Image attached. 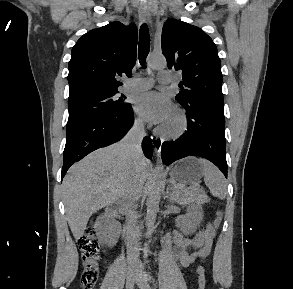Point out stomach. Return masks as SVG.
I'll list each match as a JSON object with an SVG mask.
<instances>
[{"instance_id":"stomach-1","label":"stomach","mask_w":293,"mask_h":289,"mask_svg":"<svg viewBox=\"0 0 293 289\" xmlns=\"http://www.w3.org/2000/svg\"><path fill=\"white\" fill-rule=\"evenodd\" d=\"M204 175L199 159L187 157L177 161L170 170L171 179L182 185H191Z\"/></svg>"}]
</instances>
